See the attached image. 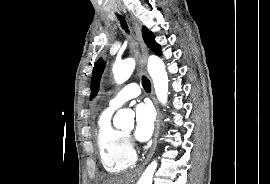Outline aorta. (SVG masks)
<instances>
[{"mask_svg": "<svg viewBox=\"0 0 270 184\" xmlns=\"http://www.w3.org/2000/svg\"><path fill=\"white\" fill-rule=\"evenodd\" d=\"M135 68V60L127 58L113 65V74L116 83L121 84L129 79ZM148 73L150 74L155 88V93L158 100L165 104L168 98V75L165 64L157 56L148 58ZM116 128H127L134 126V112L126 109L119 110L113 120ZM157 168V162H151L143 172L137 184H152L153 175Z\"/></svg>", "mask_w": 270, "mask_h": 184, "instance_id": "obj_1", "label": "aorta"}]
</instances>
